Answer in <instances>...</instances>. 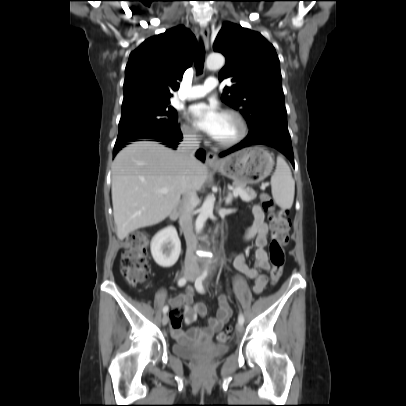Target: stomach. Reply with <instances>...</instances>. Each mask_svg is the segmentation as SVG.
Masks as SVG:
<instances>
[{
  "instance_id": "0dacf381",
  "label": "stomach",
  "mask_w": 406,
  "mask_h": 406,
  "mask_svg": "<svg viewBox=\"0 0 406 406\" xmlns=\"http://www.w3.org/2000/svg\"><path fill=\"white\" fill-rule=\"evenodd\" d=\"M274 161L260 146L244 148L221 160L213 168L236 184L248 185L263 181L272 171Z\"/></svg>"
}]
</instances>
